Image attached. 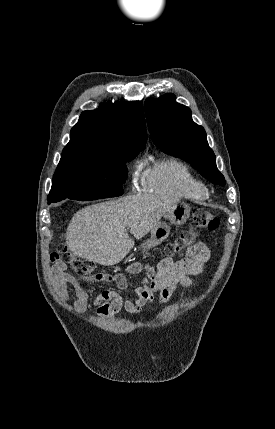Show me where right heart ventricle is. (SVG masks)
I'll use <instances>...</instances> for the list:
<instances>
[{"instance_id": "e07e8e85", "label": "right heart ventricle", "mask_w": 275, "mask_h": 429, "mask_svg": "<svg viewBox=\"0 0 275 429\" xmlns=\"http://www.w3.org/2000/svg\"><path fill=\"white\" fill-rule=\"evenodd\" d=\"M144 189L189 200H204L208 194L202 180L186 163L175 157L161 158L147 166Z\"/></svg>"}]
</instances>
